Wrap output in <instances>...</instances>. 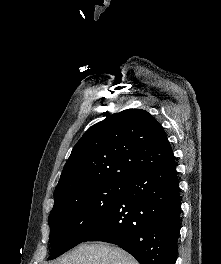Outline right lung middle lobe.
Instances as JSON below:
<instances>
[{
  "label": "right lung middle lobe",
  "mask_w": 221,
  "mask_h": 264,
  "mask_svg": "<svg viewBox=\"0 0 221 264\" xmlns=\"http://www.w3.org/2000/svg\"><path fill=\"white\" fill-rule=\"evenodd\" d=\"M125 182H108L75 193L53 207L48 223L55 259L81 243L116 205Z\"/></svg>",
  "instance_id": "dd1d6c3e"
}]
</instances>
